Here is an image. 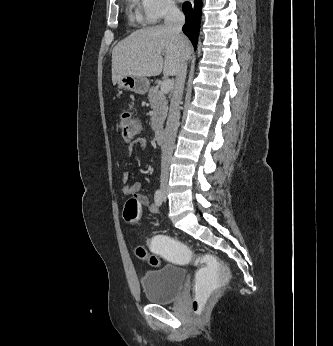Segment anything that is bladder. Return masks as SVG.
<instances>
[{
    "label": "bladder",
    "mask_w": 333,
    "mask_h": 346,
    "mask_svg": "<svg viewBox=\"0 0 333 346\" xmlns=\"http://www.w3.org/2000/svg\"><path fill=\"white\" fill-rule=\"evenodd\" d=\"M184 280L183 268L165 265L157 270L146 271L141 278V287L151 304H166L179 295Z\"/></svg>",
    "instance_id": "1"
}]
</instances>
